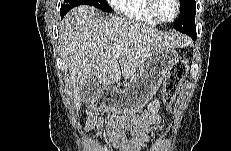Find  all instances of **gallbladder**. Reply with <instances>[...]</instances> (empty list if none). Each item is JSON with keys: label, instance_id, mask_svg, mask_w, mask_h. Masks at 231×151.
Wrapping results in <instances>:
<instances>
[{"label": "gallbladder", "instance_id": "1", "mask_svg": "<svg viewBox=\"0 0 231 151\" xmlns=\"http://www.w3.org/2000/svg\"><path fill=\"white\" fill-rule=\"evenodd\" d=\"M101 92V86L95 74H92L82 86L80 91L81 99L84 103L94 102Z\"/></svg>", "mask_w": 231, "mask_h": 151}]
</instances>
